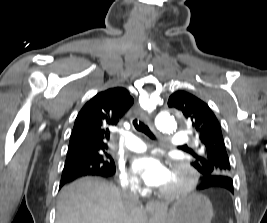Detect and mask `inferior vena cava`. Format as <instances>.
<instances>
[{
    "instance_id": "obj_1",
    "label": "inferior vena cava",
    "mask_w": 267,
    "mask_h": 223,
    "mask_svg": "<svg viewBox=\"0 0 267 223\" xmlns=\"http://www.w3.org/2000/svg\"><path fill=\"white\" fill-rule=\"evenodd\" d=\"M122 198L126 208L130 209L139 204V197L134 187L125 189L122 192Z\"/></svg>"
}]
</instances>
